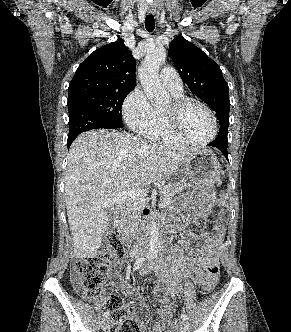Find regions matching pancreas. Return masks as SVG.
Masks as SVG:
<instances>
[{
  "label": "pancreas",
  "mask_w": 291,
  "mask_h": 332,
  "mask_svg": "<svg viewBox=\"0 0 291 332\" xmlns=\"http://www.w3.org/2000/svg\"><path fill=\"white\" fill-rule=\"evenodd\" d=\"M192 185L188 182H177L170 183L162 188H160L161 200H172L174 196L179 194L181 191L190 188ZM146 204L144 202L136 201L133 204L129 205L127 209L123 212L121 216V222L119 225V230H128L130 227L135 225L140 220V215Z\"/></svg>",
  "instance_id": "cf45deb5"
}]
</instances>
